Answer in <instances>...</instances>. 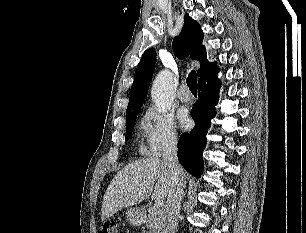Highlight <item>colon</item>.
Listing matches in <instances>:
<instances>
[{
	"label": "colon",
	"instance_id": "1",
	"mask_svg": "<svg viewBox=\"0 0 306 233\" xmlns=\"http://www.w3.org/2000/svg\"><path fill=\"white\" fill-rule=\"evenodd\" d=\"M98 233H119L118 223L114 221L106 222Z\"/></svg>",
	"mask_w": 306,
	"mask_h": 233
}]
</instances>
